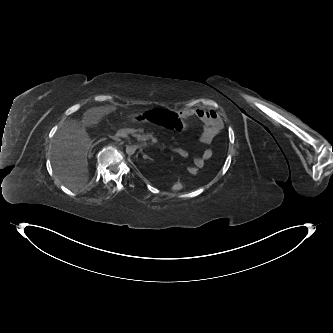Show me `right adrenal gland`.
Here are the masks:
<instances>
[{
	"label": "right adrenal gland",
	"instance_id": "right-adrenal-gland-1",
	"mask_svg": "<svg viewBox=\"0 0 333 333\" xmlns=\"http://www.w3.org/2000/svg\"><path fill=\"white\" fill-rule=\"evenodd\" d=\"M97 144V143H96ZM96 144H94V145H92L91 146V148L89 149V152H88V158H90L91 156H92V149H93V147L96 145Z\"/></svg>",
	"mask_w": 333,
	"mask_h": 333
}]
</instances>
